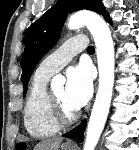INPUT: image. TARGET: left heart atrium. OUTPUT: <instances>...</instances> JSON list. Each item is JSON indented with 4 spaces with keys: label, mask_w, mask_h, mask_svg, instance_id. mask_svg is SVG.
<instances>
[{
    "label": "left heart atrium",
    "mask_w": 139,
    "mask_h": 150,
    "mask_svg": "<svg viewBox=\"0 0 139 150\" xmlns=\"http://www.w3.org/2000/svg\"><path fill=\"white\" fill-rule=\"evenodd\" d=\"M66 98L75 109L84 106L93 92L92 73L88 66L79 65L67 72Z\"/></svg>",
    "instance_id": "39dd6f15"
}]
</instances>
